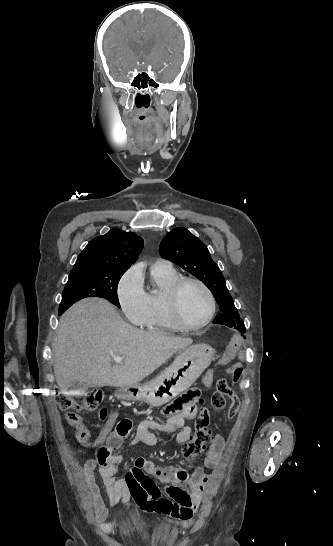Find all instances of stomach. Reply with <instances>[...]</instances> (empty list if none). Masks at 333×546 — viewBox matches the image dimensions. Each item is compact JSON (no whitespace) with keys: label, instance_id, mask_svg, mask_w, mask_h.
<instances>
[{"label":"stomach","instance_id":"obj_1","mask_svg":"<svg viewBox=\"0 0 333 546\" xmlns=\"http://www.w3.org/2000/svg\"><path fill=\"white\" fill-rule=\"evenodd\" d=\"M215 350L207 344H195L180 351L173 363L154 380L118 389V400L142 401L161 406L187 390L214 359Z\"/></svg>","mask_w":333,"mask_h":546}]
</instances>
